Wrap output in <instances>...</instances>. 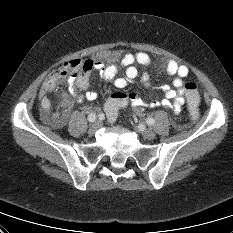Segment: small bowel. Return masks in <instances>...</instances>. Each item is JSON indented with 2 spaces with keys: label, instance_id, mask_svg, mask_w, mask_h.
Here are the masks:
<instances>
[{
  "label": "small bowel",
  "instance_id": "obj_1",
  "mask_svg": "<svg viewBox=\"0 0 233 233\" xmlns=\"http://www.w3.org/2000/svg\"><path fill=\"white\" fill-rule=\"evenodd\" d=\"M108 65H104L100 61L93 63L92 69L99 71L101 77L112 83L116 88L123 89L127 86L129 80H133L138 77L139 72L136 68V64L141 66H148L151 64V58L144 52L121 54L118 52H109L105 55ZM156 67L161 72H165L170 75H176L173 80V88L167 87L164 89L165 98L159 101L144 102L139 99L135 94H129V100L135 109L147 106L151 108H157L164 106L172 109L175 113L181 111V108L185 102V89L184 79L189 75V69L187 66L180 64L176 61L169 60L166 62L158 61ZM121 68L125 69V75L119 77V71ZM49 77L45 80L42 88L46 86ZM140 82L144 87L150 86V78L147 73H143L140 77ZM89 88V73L78 77L71 76L69 78V92L70 94H64L61 97V103L57 110L47 113L46 119L54 127L63 126L66 122V115L72 106L73 99L81 101L84 98L87 100H95L98 98V93L91 91Z\"/></svg>",
  "mask_w": 233,
  "mask_h": 233
}]
</instances>
